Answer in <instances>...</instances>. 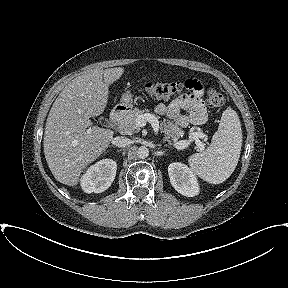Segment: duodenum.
<instances>
[{"label":"duodenum","instance_id":"duodenum-1","mask_svg":"<svg viewBox=\"0 0 288 288\" xmlns=\"http://www.w3.org/2000/svg\"><path fill=\"white\" fill-rule=\"evenodd\" d=\"M125 113V108L116 107L110 113V121L112 124L117 123Z\"/></svg>","mask_w":288,"mask_h":288}]
</instances>
